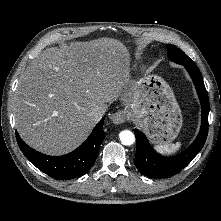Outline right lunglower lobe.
<instances>
[{
	"label": "right lung lower lobe",
	"instance_id": "98d812e1",
	"mask_svg": "<svg viewBox=\"0 0 221 221\" xmlns=\"http://www.w3.org/2000/svg\"><path fill=\"white\" fill-rule=\"evenodd\" d=\"M102 119L90 136L73 152L63 156H49L29 147L16 132L17 143L25 157L45 174L68 180L86 174L98 156L100 145L105 138Z\"/></svg>",
	"mask_w": 221,
	"mask_h": 221
}]
</instances>
